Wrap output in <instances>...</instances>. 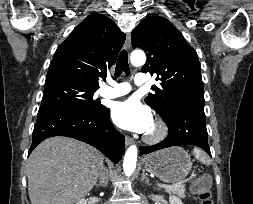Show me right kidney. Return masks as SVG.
Masks as SVG:
<instances>
[{
    "label": "right kidney",
    "instance_id": "ca27d5eb",
    "mask_svg": "<svg viewBox=\"0 0 253 204\" xmlns=\"http://www.w3.org/2000/svg\"><path fill=\"white\" fill-rule=\"evenodd\" d=\"M76 204H87V201L85 199H81L79 202H77Z\"/></svg>",
    "mask_w": 253,
    "mask_h": 204
}]
</instances>
